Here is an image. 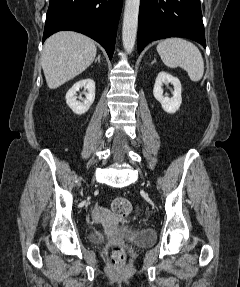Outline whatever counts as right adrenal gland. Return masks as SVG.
<instances>
[{
    "label": "right adrenal gland",
    "instance_id": "right-adrenal-gland-1",
    "mask_svg": "<svg viewBox=\"0 0 240 287\" xmlns=\"http://www.w3.org/2000/svg\"><path fill=\"white\" fill-rule=\"evenodd\" d=\"M100 62V55H98V57L95 59V62Z\"/></svg>",
    "mask_w": 240,
    "mask_h": 287
}]
</instances>
